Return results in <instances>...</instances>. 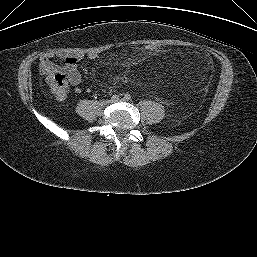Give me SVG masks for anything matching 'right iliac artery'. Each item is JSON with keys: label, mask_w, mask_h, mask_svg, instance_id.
Wrapping results in <instances>:
<instances>
[{"label": "right iliac artery", "mask_w": 257, "mask_h": 257, "mask_svg": "<svg viewBox=\"0 0 257 257\" xmlns=\"http://www.w3.org/2000/svg\"><path fill=\"white\" fill-rule=\"evenodd\" d=\"M118 99H119V96L116 94L111 97V100L114 102L118 101Z\"/></svg>", "instance_id": "obj_1"}]
</instances>
